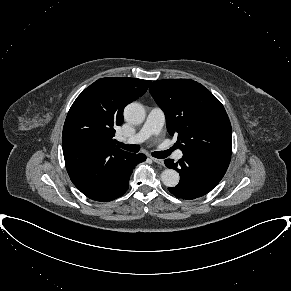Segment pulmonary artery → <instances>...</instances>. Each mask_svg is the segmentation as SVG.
Segmentation results:
<instances>
[{"label":"pulmonary artery","mask_w":291,"mask_h":291,"mask_svg":"<svg viewBox=\"0 0 291 291\" xmlns=\"http://www.w3.org/2000/svg\"><path fill=\"white\" fill-rule=\"evenodd\" d=\"M164 121L165 115L162 109L154 107L149 111L142 128L134 136L123 138L122 141L128 144H137L153 135H158L162 130ZM174 157L176 159H181L183 157V152L181 150L176 151Z\"/></svg>","instance_id":"e3ab8cb5"}]
</instances>
